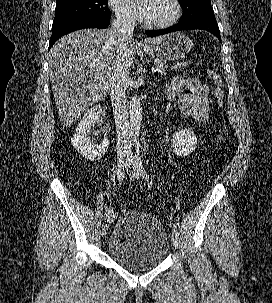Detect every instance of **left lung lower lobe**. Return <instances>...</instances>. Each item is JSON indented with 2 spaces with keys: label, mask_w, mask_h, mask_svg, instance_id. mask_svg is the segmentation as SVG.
<instances>
[{
  "label": "left lung lower lobe",
  "mask_w": 272,
  "mask_h": 303,
  "mask_svg": "<svg viewBox=\"0 0 272 303\" xmlns=\"http://www.w3.org/2000/svg\"><path fill=\"white\" fill-rule=\"evenodd\" d=\"M201 29L206 30L213 35H215L220 41V31L216 19H208V20H201V21H192V22H179L178 24L158 31H146V34L149 37H156L159 35L175 32V31H182V30H195Z\"/></svg>",
  "instance_id": "left-lung-lower-lobe-1"
}]
</instances>
